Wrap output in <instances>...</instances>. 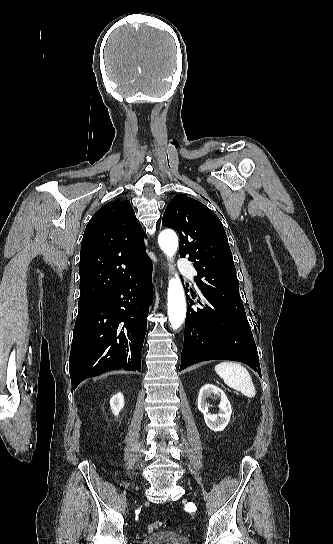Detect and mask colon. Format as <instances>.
Returning <instances> with one entry per match:
<instances>
[{"mask_svg": "<svg viewBox=\"0 0 333 544\" xmlns=\"http://www.w3.org/2000/svg\"><path fill=\"white\" fill-rule=\"evenodd\" d=\"M170 526V521H153L147 524L146 528L149 532L158 530L160 527L167 528Z\"/></svg>", "mask_w": 333, "mask_h": 544, "instance_id": "obj_1", "label": "colon"}]
</instances>
